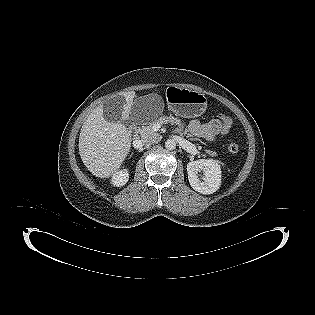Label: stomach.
I'll return each instance as SVG.
<instances>
[{
  "mask_svg": "<svg viewBox=\"0 0 315 315\" xmlns=\"http://www.w3.org/2000/svg\"><path fill=\"white\" fill-rule=\"evenodd\" d=\"M166 101L169 110L185 118L201 116L207 108V98L203 93L176 86L167 88Z\"/></svg>",
  "mask_w": 315,
  "mask_h": 315,
  "instance_id": "0dacf381",
  "label": "stomach"
}]
</instances>
